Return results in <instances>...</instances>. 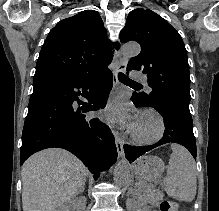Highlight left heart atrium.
<instances>
[{"label":"left heart atrium","instance_id":"obj_1","mask_svg":"<svg viewBox=\"0 0 219 211\" xmlns=\"http://www.w3.org/2000/svg\"><path fill=\"white\" fill-rule=\"evenodd\" d=\"M103 117L107 122L115 123H130V125H135L132 122L133 118L129 112L126 102L119 98L109 104L103 112Z\"/></svg>","mask_w":219,"mask_h":211}]
</instances>
